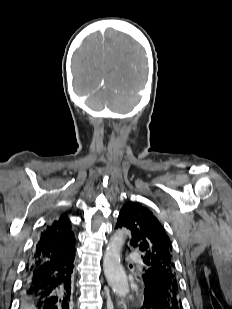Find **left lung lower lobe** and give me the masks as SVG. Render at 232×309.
<instances>
[{"label":"left lung lower lobe","mask_w":232,"mask_h":309,"mask_svg":"<svg viewBox=\"0 0 232 309\" xmlns=\"http://www.w3.org/2000/svg\"><path fill=\"white\" fill-rule=\"evenodd\" d=\"M144 289V301L141 309H181L180 302L170 299L163 287L150 277L140 276Z\"/></svg>","instance_id":"0a47b994"}]
</instances>
